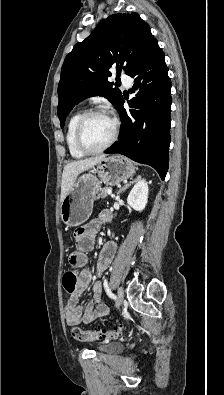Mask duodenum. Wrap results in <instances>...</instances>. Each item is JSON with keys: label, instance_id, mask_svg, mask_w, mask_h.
Returning <instances> with one entry per match:
<instances>
[{"label": "duodenum", "instance_id": "410a0bca", "mask_svg": "<svg viewBox=\"0 0 224 395\" xmlns=\"http://www.w3.org/2000/svg\"><path fill=\"white\" fill-rule=\"evenodd\" d=\"M111 217V214L108 212L107 214H106V219H109Z\"/></svg>", "mask_w": 224, "mask_h": 395}]
</instances>
